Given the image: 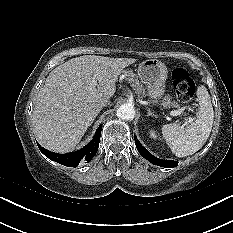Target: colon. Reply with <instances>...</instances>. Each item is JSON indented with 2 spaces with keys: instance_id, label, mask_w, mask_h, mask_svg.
I'll list each match as a JSON object with an SVG mask.
<instances>
[{
  "instance_id": "5ec220e1",
  "label": "colon",
  "mask_w": 233,
  "mask_h": 233,
  "mask_svg": "<svg viewBox=\"0 0 233 233\" xmlns=\"http://www.w3.org/2000/svg\"><path fill=\"white\" fill-rule=\"evenodd\" d=\"M172 78L178 100L182 103L191 101L196 90L194 77L186 69L176 68Z\"/></svg>"
}]
</instances>
